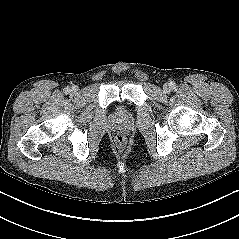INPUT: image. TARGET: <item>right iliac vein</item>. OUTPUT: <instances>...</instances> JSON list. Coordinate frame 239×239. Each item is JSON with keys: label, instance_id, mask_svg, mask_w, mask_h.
Masks as SVG:
<instances>
[{"label": "right iliac vein", "instance_id": "right-iliac-vein-1", "mask_svg": "<svg viewBox=\"0 0 239 239\" xmlns=\"http://www.w3.org/2000/svg\"><path fill=\"white\" fill-rule=\"evenodd\" d=\"M77 91H78V87L77 86L72 87V92L73 93H76Z\"/></svg>", "mask_w": 239, "mask_h": 239}]
</instances>
